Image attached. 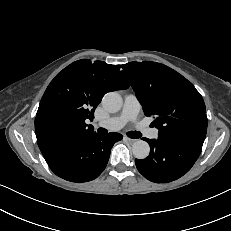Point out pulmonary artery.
I'll use <instances>...</instances> for the list:
<instances>
[{
	"mask_svg": "<svg viewBox=\"0 0 231 231\" xmlns=\"http://www.w3.org/2000/svg\"><path fill=\"white\" fill-rule=\"evenodd\" d=\"M141 105L134 94H127L124 97V103L119 115L111 117L106 121L97 123L98 126L108 128L110 130H118L122 128L128 121H135L140 113ZM147 137L155 139L158 137L159 130L157 128H144Z\"/></svg>",
	"mask_w": 231,
	"mask_h": 231,
	"instance_id": "pulmonary-artery-1",
	"label": "pulmonary artery"
}]
</instances>
